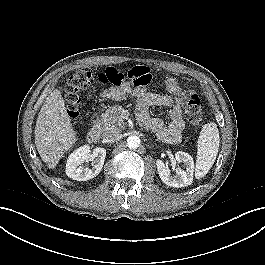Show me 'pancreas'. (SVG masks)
<instances>
[{"label": "pancreas", "instance_id": "1", "mask_svg": "<svg viewBox=\"0 0 265 265\" xmlns=\"http://www.w3.org/2000/svg\"><path fill=\"white\" fill-rule=\"evenodd\" d=\"M121 106H113L105 111L102 115L99 126L103 135L110 133H119L125 128V123L121 117Z\"/></svg>", "mask_w": 265, "mask_h": 265}]
</instances>
